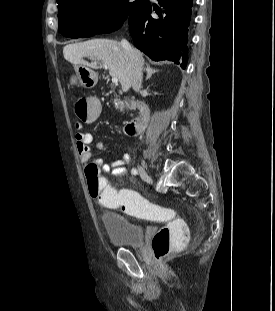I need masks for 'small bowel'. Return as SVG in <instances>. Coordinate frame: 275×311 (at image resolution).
<instances>
[{
	"instance_id": "c3829d8e",
	"label": "small bowel",
	"mask_w": 275,
	"mask_h": 311,
	"mask_svg": "<svg viewBox=\"0 0 275 311\" xmlns=\"http://www.w3.org/2000/svg\"><path fill=\"white\" fill-rule=\"evenodd\" d=\"M77 129L75 146L80 162L85 168L90 164H95L97 168L104 173H110L114 176L126 175L127 169L125 165L131 161V157L128 154H124L121 158L112 162H108L103 158L92 159L91 144L93 142V135L90 132L81 130L80 124H77ZM95 148L100 152H105L107 150V145L104 141L99 140L95 143Z\"/></svg>"
}]
</instances>
